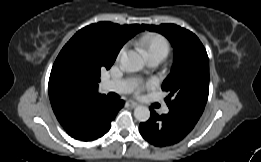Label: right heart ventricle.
I'll list each match as a JSON object with an SVG mask.
<instances>
[{
    "label": "right heart ventricle",
    "mask_w": 261,
    "mask_h": 162,
    "mask_svg": "<svg viewBox=\"0 0 261 162\" xmlns=\"http://www.w3.org/2000/svg\"><path fill=\"white\" fill-rule=\"evenodd\" d=\"M140 44L145 48L148 58L160 56L165 58L170 51L169 41L162 35L148 33L140 38Z\"/></svg>",
    "instance_id": "obj_1"
}]
</instances>
